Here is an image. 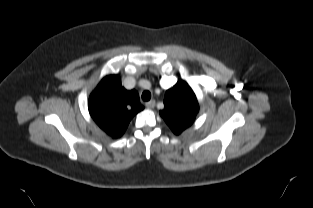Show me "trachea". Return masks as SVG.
Listing matches in <instances>:
<instances>
[{
	"mask_svg": "<svg viewBox=\"0 0 313 208\" xmlns=\"http://www.w3.org/2000/svg\"><path fill=\"white\" fill-rule=\"evenodd\" d=\"M143 101H149L151 99V93L149 91H144L142 93Z\"/></svg>",
	"mask_w": 313,
	"mask_h": 208,
	"instance_id": "trachea-1",
	"label": "trachea"
}]
</instances>
